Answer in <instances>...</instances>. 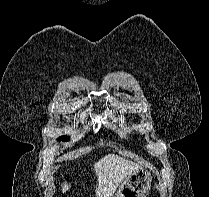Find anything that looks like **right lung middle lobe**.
<instances>
[{
    "instance_id": "obj_1",
    "label": "right lung middle lobe",
    "mask_w": 209,
    "mask_h": 197,
    "mask_svg": "<svg viewBox=\"0 0 209 197\" xmlns=\"http://www.w3.org/2000/svg\"><path fill=\"white\" fill-rule=\"evenodd\" d=\"M68 139H69V138L66 137V136H62V137L59 138V140H62V141H66V140H68Z\"/></svg>"
}]
</instances>
